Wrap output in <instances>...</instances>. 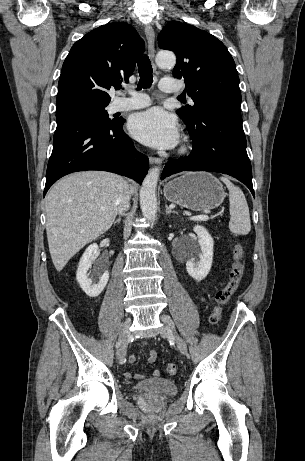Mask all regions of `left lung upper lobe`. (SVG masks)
<instances>
[{"instance_id": "obj_1", "label": "left lung upper lobe", "mask_w": 305, "mask_h": 461, "mask_svg": "<svg viewBox=\"0 0 305 461\" xmlns=\"http://www.w3.org/2000/svg\"><path fill=\"white\" fill-rule=\"evenodd\" d=\"M158 45L176 54L173 76L184 80L187 94L194 101V106L177 110L185 123L193 122L212 106L241 104L235 62L215 36L193 25L172 21L159 34Z\"/></svg>"}]
</instances>
